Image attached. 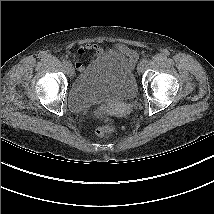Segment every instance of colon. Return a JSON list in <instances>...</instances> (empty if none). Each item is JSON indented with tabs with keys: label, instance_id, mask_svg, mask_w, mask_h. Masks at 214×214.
I'll return each instance as SVG.
<instances>
[{
	"label": "colon",
	"instance_id": "colon-1",
	"mask_svg": "<svg viewBox=\"0 0 214 214\" xmlns=\"http://www.w3.org/2000/svg\"><path fill=\"white\" fill-rule=\"evenodd\" d=\"M114 121L110 117L104 119V124L96 129V134L99 137H106L114 130Z\"/></svg>",
	"mask_w": 214,
	"mask_h": 214
}]
</instances>
